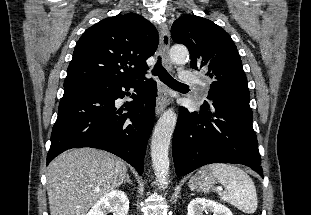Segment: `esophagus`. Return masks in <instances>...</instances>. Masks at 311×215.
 <instances>
[{"label":"esophagus","instance_id":"34e87169","mask_svg":"<svg viewBox=\"0 0 311 215\" xmlns=\"http://www.w3.org/2000/svg\"><path fill=\"white\" fill-rule=\"evenodd\" d=\"M159 34H160V53L163 59L164 66L167 69L171 68V62L169 59V47H170V33L168 27L165 23L159 24ZM169 102V94L167 88L161 84L160 93L156 101L155 112L159 116L163 110L166 108Z\"/></svg>","mask_w":311,"mask_h":215}]
</instances>
